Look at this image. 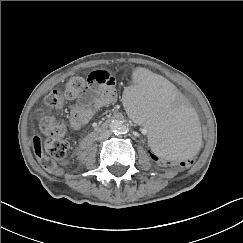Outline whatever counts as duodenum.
I'll return each instance as SVG.
<instances>
[{
  "label": "duodenum",
  "instance_id": "duodenum-1",
  "mask_svg": "<svg viewBox=\"0 0 243 243\" xmlns=\"http://www.w3.org/2000/svg\"><path fill=\"white\" fill-rule=\"evenodd\" d=\"M122 119H123L122 115L115 114L110 119L105 121L101 126L96 128L92 133H90L86 138L83 139L79 147V153L82 156L85 155L89 151L93 140L97 137L98 134L108 130L112 123L120 122L122 121Z\"/></svg>",
  "mask_w": 243,
  "mask_h": 243
}]
</instances>
